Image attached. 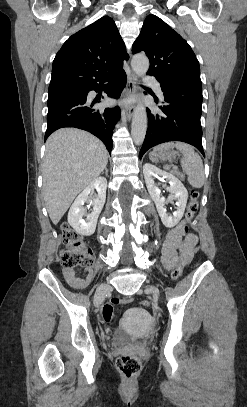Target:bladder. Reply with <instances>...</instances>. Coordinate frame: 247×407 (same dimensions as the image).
<instances>
[{
  "mask_svg": "<svg viewBox=\"0 0 247 407\" xmlns=\"http://www.w3.org/2000/svg\"><path fill=\"white\" fill-rule=\"evenodd\" d=\"M133 339V336L123 328H117L113 333V342L117 345L129 344Z\"/></svg>",
  "mask_w": 247,
  "mask_h": 407,
  "instance_id": "1",
  "label": "bladder"
}]
</instances>
